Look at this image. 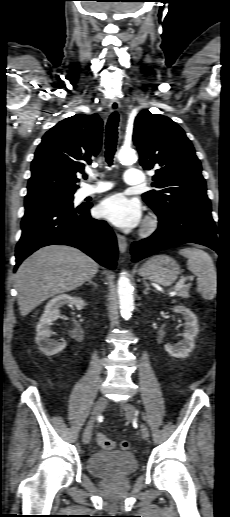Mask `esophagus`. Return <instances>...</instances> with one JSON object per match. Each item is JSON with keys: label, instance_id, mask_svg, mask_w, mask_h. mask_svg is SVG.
Here are the masks:
<instances>
[{"label": "esophagus", "instance_id": "obj_1", "mask_svg": "<svg viewBox=\"0 0 230 517\" xmlns=\"http://www.w3.org/2000/svg\"><path fill=\"white\" fill-rule=\"evenodd\" d=\"M120 107H121V104H120L119 100L116 98L112 99L109 103V109L111 112L119 111ZM117 242H118L119 251L121 253H125L128 248V243H127L125 236H123L121 234H117Z\"/></svg>", "mask_w": 230, "mask_h": 517}]
</instances>
